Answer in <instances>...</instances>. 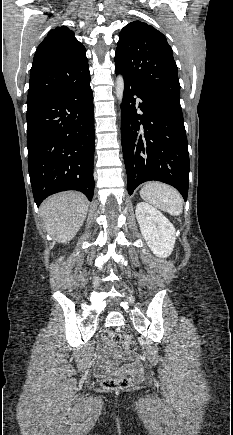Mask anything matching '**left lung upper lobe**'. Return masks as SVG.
Segmentation results:
<instances>
[{
    "label": "left lung upper lobe",
    "mask_w": 233,
    "mask_h": 435,
    "mask_svg": "<svg viewBox=\"0 0 233 435\" xmlns=\"http://www.w3.org/2000/svg\"><path fill=\"white\" fill-rule=\"evenodd\" d=\"M115 68L143 91L179 101L180 84L166 37L142 21H132L119 34Z\"/></svg>",
    "instance_id": "5c2ea615"
}]
</instances>
